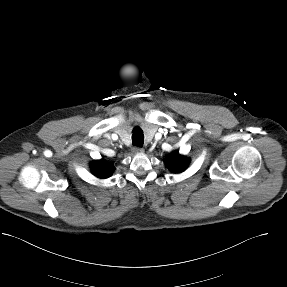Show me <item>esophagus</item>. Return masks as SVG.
I'll return each mask as SVG.
<instances>
[{"label": "esophagus", "instance_id": "1", "mask_svg": "<svg viewBox=\"0 0 287 287\" xmlns=\"http://www.w3.org/2000/svg\"><path fill=\"white\" fill-rule=\"evenodd\" d=\"M143 152V148H141V147H134L133 149H132V153L133 154H140V153H142Z\"/></svg>", "mask_w": 287, "mask_h": 287}]
</instances>
